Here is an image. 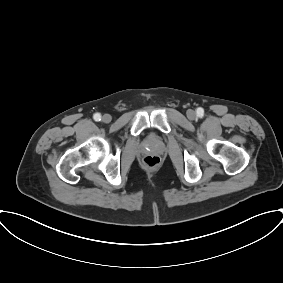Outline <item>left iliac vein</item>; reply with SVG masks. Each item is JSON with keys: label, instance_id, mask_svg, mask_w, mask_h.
Segmentation results:
<instances>
[{"label": "left iliac vein", "instance_id": "1", "mask_svg": "<svg viewBox=\"0 0 283 283\" xmlns=\"http://www.w3.org/2000/svg\"><path fill=\"white\" fill-rule=\"evenodd\" d=\"M187 117L191 120L195 119L196 118V112L194 110H188L187 111Z\"/></svg>", "mask_w": 283, "mask_h": 283}]
</instances>
